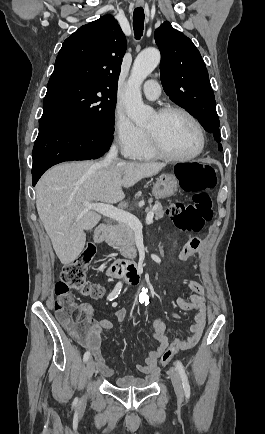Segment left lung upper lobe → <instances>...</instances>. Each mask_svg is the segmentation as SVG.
Here are the masks:
<instances>
[{
	"label": "left lung upper lobe",
	"mask_w": 265,
	"mask_h": 434,
	"mask_svg": "<svg viewBox=\"0 0 265 434\" xmlns=\"http://www.w3.org/2000/svg\"><path fill=\"white\" fill-rule=\"evenodd\" d=\"M154 37L161 52L160 76L164 91L220 142L214 93L198 49L168 21L155 31Z\"/></svg>",
	"instance_id": "5c2ea615"
}]
</instances>
